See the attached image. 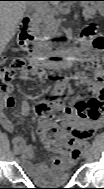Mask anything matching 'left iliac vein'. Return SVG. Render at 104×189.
Here are the masks:
<instances>
[{"mask_svg":"<svg viewBox=\"0 0 104 189\" xmlns=\"http://www.w3.org/2000/svg\"><path fill=\"white\" fill-rule=\"evenodd\" d=\"M81 156H82V158H86V157L88 156V151H87V149H83V150H82Z\"/></svg>","mask_w":104,"mask_h":189,"instance_id":"4c4485c4","label":"left iliac vein"}]
</instances>
